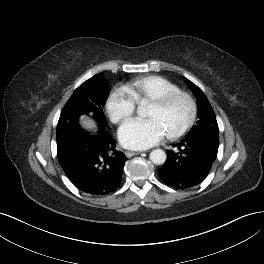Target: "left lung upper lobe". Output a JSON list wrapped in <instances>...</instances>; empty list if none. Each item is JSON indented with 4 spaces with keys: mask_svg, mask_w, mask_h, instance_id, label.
<instances>
[{
    "mask_svg": "<svg viewBox=\"0 0 264 264\" xmlns=\"http://www.w3.org/2000/svg\"><path fill=\"white\" fill-rule=\"evenodd\" d=\"M188 81V86L193 91L197 98L198 118L197 125L193 126L189 134L200 130H216L218 131V124L212 107L207 100L204 93L194 83Z\"/></svg>",
    "mask_w": 264,
    "mask_h": 264,
    "instance_id": "obj_1",
    "label": "left lung upper lobe"
}]
</instances>
